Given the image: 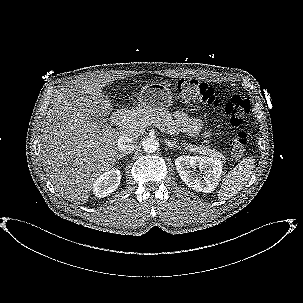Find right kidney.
I'll return each mask as SVG.
<instances>
[{
	"label": "right kidney",
	"mask_w": 303,
	"mask_h": 303,
	"mask_svg": "<svg viewBox=\"0 0 303 303\" xmlns=\"http://www.w3.org/2000/svg\"><path fill=\"white\" fill-rule=\"evenodd\" d=\"M121 180L120 170L111 169L100 175L93 184V192L95 196L101 198L114 192Z\"/></svg>",
	"instance_id": "obj_1"
}]
</instances>
